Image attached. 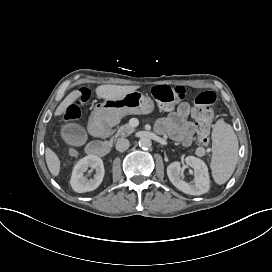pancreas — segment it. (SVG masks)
Wrapping results in <instances>:
<instances>
[{
  "instance_id": "1",
  "label": "pancreas",
  "mask_w": 272,
  "mask_h": 272,
  "mask_svg": "<svg viewBox=\"0 0 272 272\" xmlns=\"http://www.w3.org/2000/svg\"><path fill=\"white\" fill-rule=\"evenodd\" d=\"M107 122L110 124V125H115V124H118L120 122V118L119 117H116V118H110L107 120ZM135 131V128L133 126H131L130 124H125V125H122L120 126L118 129H117V132L116 134L111 138V141H115L117 140L119 137H126L128 135H130L131 133H133Z\"/></svg>"
}]
</instances>
